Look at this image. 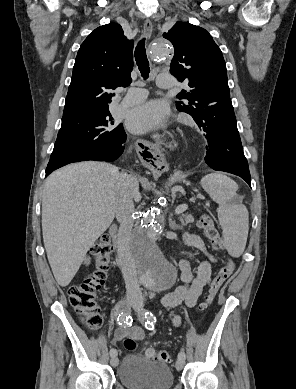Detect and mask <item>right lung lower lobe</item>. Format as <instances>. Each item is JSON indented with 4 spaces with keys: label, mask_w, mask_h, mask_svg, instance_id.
<instances>
[{
    "label": "right lung lower lobe",
    "mask_w": 296,
    "mask_h": 389,
    "mask_svg": "<svg viewBox=\"0 0 296 389\" xmlns=\"http://www.w3.org/2000/svg\"><path fill=\"white\" fill-rule=\"evenodd\" d=\"M125 140H126V134L124 132V138H123L122 142L120 144H118L117 146L113 147L112 149H110V150L101 149V150H97V151H93V152L83 153L79 158H77L75 160H72L69 162L59 163L56 166H53L51 168H47L46 169V176L49 175L55 169L62 167L64 165H67L69 163H73V162L87 161V160L112 162V161L116 160L122 154L123 149H124L123 143L125 142Z\"/></svg>",
    "instance_id": "right-lung-lower-lobe-1"
}]
</instances>
